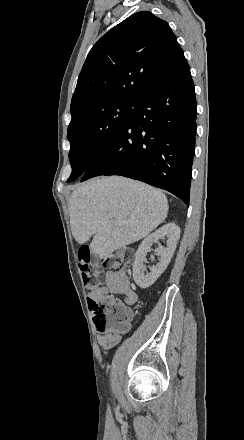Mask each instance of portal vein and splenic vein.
<instances>
[{"mask_svg": "<svg viewBox=\"0 0 244 440\" xmlns=\"http://www.w3.org/2000/svg\"><path fill=\"white\" fill-rule=\"evenodd\" d=\"M125 222H127V220H121V218H115L114 220V224H116V226H122V224H125Z\"/></svg>", "mask_w": 244, "mask_h": 440, "instance_id": "18ae733b", "label": "portal vein and splenic vein"}]
</instances>
